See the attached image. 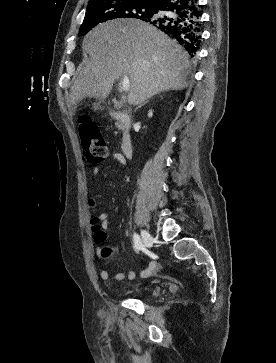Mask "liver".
Listing matches in <instances>:
<instances>
[{
    "label": "liver",
    "instance_id": "6515ba94",
    "mask_svg": "<svg viewBox=\"0 0 276 363\" xmlns=\"http://www.w3.org/2000/svg\"><path fill=\"white\" fill-rule=\"evenodd\" d=\"M89 61L80 67L70 91V105L82 99L104 100L113 83L123 76L130 81L128 103L140 105L148 98L188 86V54L176 41L137 19L102 23L83 40Z\"/></svg>",
    "mask_w": 276,
    "mask_h": 363
}]
</instances>
